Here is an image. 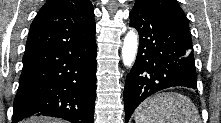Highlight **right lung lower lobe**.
<instances>
[{"label": "right lung lower lobe", "instance_id": "1", "mask_svg": "<svg viewBox=\"0 0 221 123\" xmlns=\"http://www.w3.org/2000/svg\"><path fill=\"white\" fill-rule=\"evenodd\" d=\"M95 33L68 45L25 51L13 123L32 115L93 123Z\"/></svg>", "mask_w": 221, "mask_h": 123}]
</instances>
